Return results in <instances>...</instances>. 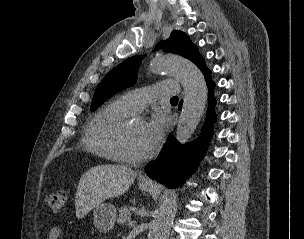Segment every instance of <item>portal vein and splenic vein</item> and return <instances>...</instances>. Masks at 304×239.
Here are the masks:
<instances>
[{
  "label": "portal vein and splenic vein",
  "instance_id": "18ae733b",
  "mask_svg": "<svg viewBox=\"0 0 304 239\" xmlns=\"http://www.w3.org/2000/svg\"><path fill=\"white\" fill-rule=\"evenodd\" d=\"M129 226H135V221L129 222Z\"/></svg>",
  "mask_w": 304,
  "mask_h": 239
}]
</instances>
